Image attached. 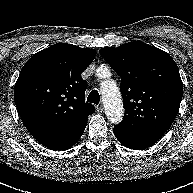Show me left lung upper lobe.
Returning <instances> with one entry per match:
<instances>
[{
	"mask_svg": "<svg viewBox=\"0 0 193 193\" xmlns=\"http://www.w3.org/2000/svg\"><path fill=\"white\" fill-rule=\"evenodd\" d=\"M121 77L125 118L116 125L125 130L167 131L175 120L183 96L179 69L170 55L134 41L100 50Z\"/></svg>",
	"mask_w": 193,
	"mask_h": 193,
	"instance_id": "5c2ea615",
	"label": "left lung upper lobe"
}]
</instances>
